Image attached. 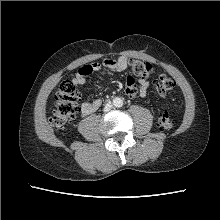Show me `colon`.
Segmentation results:
<instances>
[{"instance_id": "obj_1", "label": "colon", "mask_w": 220, "mask_h": 220, "mask_svg": "<svg viewBox=\"0 0 220 220\" xmlns=\"http://www.w3.org/2000/svg\"><path fill=\"white\" fill-rule=\"evenodd\" d=\"M132 73L135 76L147 78L152 74L153 68L148 62L132 59L130 61ZM133 75L126 77V85L134 86ZM175 86L174 80L167 74H161L155 82V88L160 95H166ZM80 102V92L72 81L61 83L55 96V109L53 111L52 123L57 129H64L75 117ZM159 127L163 130L172 128L171 116L168 112H163L158 120Z\"/></svg>"}]
</instances>
